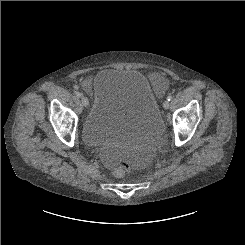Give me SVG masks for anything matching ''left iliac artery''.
<instances>
[{
  "mask_svg": "<svg viewBox=\"0 0 245 245\" xmlns=\"http://www.w3.org/2000/svg\"><path fill=\"white\" fill-rule=\"evenodd\" d=\"M167 100H168V101H171V100H172V95H171V94H169V95L167 96Z\"/></svg>",
  "mask_w": 245,
  "mask_h": 245,
  "instance_id": "left-iliac-artery-1",
  "label": "left iliac artery"
}]
</instances>
